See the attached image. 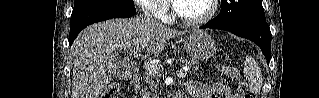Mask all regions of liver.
Wrapping results in <instances>:
<instances>
[{
  "mask_svg": "<svg viewBox=\"0 0 319 98\" xmlns=\"http://www.w3.org/2000/svg\"><path fill=\"white\" fill-rule=\"evenodd\" d=\"M181 34L143 17L111 19L87 27L72 45L71 98H101L122 50L141 46L149 55L157 56L170 38Z\"/></svg>",
  "mask_w": 319,
  "mask_h": 98,
  "instance_id": "liver-1",
  "label": "liver"
}]
</instances>
